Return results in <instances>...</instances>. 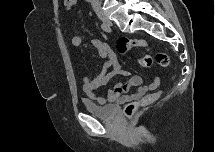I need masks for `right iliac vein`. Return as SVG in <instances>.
Wrapping results in <instances>:
<instances>
[{
  "label": "right iliac vein",
  "instance_id": "right-iliac-vein-1",
  "mask_svg": "<svg viewBox=\"0 0 215 152\" xmlns=\"http://www.w3.org/2000/svg\"><path fill=\"white\" fill-rule=\"evenodd\" d=\"M99 18L102 22H104L108 25H112V22L109 20V18L105 14H100Z\"/></svg>",
  "mask_w": 215,
  "mask_h": 152
}]
</instances>
